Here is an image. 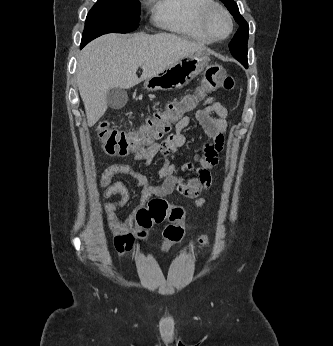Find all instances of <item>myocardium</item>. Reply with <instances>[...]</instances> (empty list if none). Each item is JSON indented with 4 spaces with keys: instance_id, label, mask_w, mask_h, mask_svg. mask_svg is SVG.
Wrapping results in <instances>:
<instances>
[{
    "instance_id": "obj_1",
    "label": "myocardium",
    "mask_w": 333,
    "mask_h": 346,
    "mask_svg": "<svg viewBox=\"0 0 333 346\" xmlns=\"http://www.w3.org/2000/svg\"><path fill=\"white\" fill-rule=\"evenodd\" d=\"M215 11H219L220 13H222L225 18L228 21L229 24V29L227 31V33L222 36V37H217L214 35V33L212 32L211 28H210V17L212 15V13H214ZM200 21H201V25L203 27V29L205 30V32L208 34V36L212 39V40H221V39H226L228 38L232 32H233V28H234V24H233V19L231 14L229 13V11L222 6L221 4L212 1L210 4H208L207 6H205L201 12L200 15Z\"/></svg>"
}]
</instances>
